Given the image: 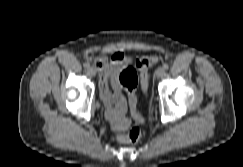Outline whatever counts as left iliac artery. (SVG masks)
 Wrapping results in <instances>:
<instances>
[{"label": "left iliac artery", "mask_w": 243, "mask_h": 167, "mask_svg": "<svg viewBox=\"0 0 243 167\" xmlns=\"http://www.w3.org/2000/svg\"><path fill=\"white\" fill-rule=\"evenodd\" d=\"M163 68H164L165 70H167V69L169 68V65H168V64H164V65H163Z\"/></svg>", "instance_id": "1"}]
</instances>
